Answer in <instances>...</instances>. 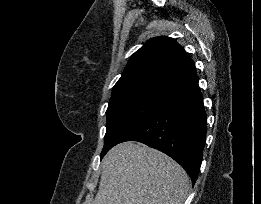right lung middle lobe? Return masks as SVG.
Here are the masks:
<instances>
[{
	"label": "right lung middle lobe",
	"mask_w": 261,
	"mask_h": 204,
	"mask_svg": "<svg viewBox=\"0 0 261 204\" xmlns=\"http://www.w3.org/2000/svg\"><path fill=\"white\" fill-rule=\"evenodd\" d=\"M166 95L167 93L157 91H134L112 95L106 111L107 131L101 158L126 131L144 118Z\"/></svg>",
	"instance_id": "obj_1"
}]
</instances>
